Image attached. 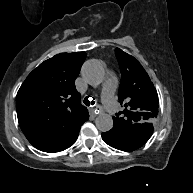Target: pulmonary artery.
<instances>
[{"mask_svg": "<svg viewBox=\"0 0 193 193\" xmlns=\"http://www.w3.org/2000/svg\"><path fill=\"white\" fill-rule=\"evenodd\" d=\"M116 87L115 79L108 75L102 86V98L107 105L108 111H111L114 104L113 94Z\"/></svg>", "mask_w": 193, "mask_h": 193, "instance_id": "obj_1", "label": "pulmonary artery"}]
</instances>
